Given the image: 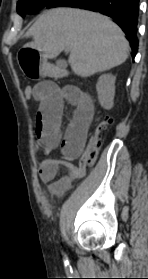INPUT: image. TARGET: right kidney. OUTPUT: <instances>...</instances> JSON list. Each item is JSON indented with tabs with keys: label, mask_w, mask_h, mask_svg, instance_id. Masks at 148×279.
Returning a JSON list of instances; mask_svg holds the SVG:
<instances>
[{
	"label": "right kidney",
	"mask_w": 148,
	"mask_h": 279,
	"mask_svg": "<svg viewBox=\"0 0 148 279\" xmlns=\"http://www.w3.org/2000/svg\"><path fill=\"white\" fill-rule=\"evenodd\" d=\"M116 77L112 74H103L96 84V91L100 105L110 110L114 104Z\"/></svg>",
	"instance_id": "obj_1"
}]
</instances>
